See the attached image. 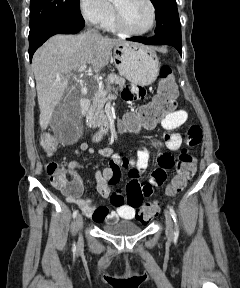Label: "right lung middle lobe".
<instances>
[{
  "label": "right lung middle lobe",
  "mask_w": 240,
  "mask_h": 288,
  "mask_svg": "<svg viewBox=\"0 0 240 288\" xmlns=\"http://www.w3.org/2000/svg\"><path fill=\"white\" fill-rule=\"evenodd\" d=\"M58 20L84 22L79 0H30L29 38L45 24Z\"/></svg>",
  "instance_id": "dd1d6c3e"
}]
</instances>
